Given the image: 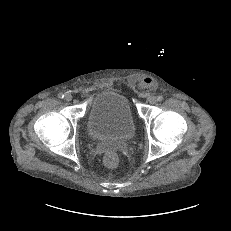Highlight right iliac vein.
Returning <instances> with one entry per match:
<instances>
[{
	"label": "right iliac vein",
	"instance_id": "right-iliac-vein-1",
	"mask_svg": "<svg viewBox=\"0 0 231 231\" xmlns=\"http://www.w3.org/2000/svg\"><path fill=\"white\" fill-rule=\"evenodd\" d=\"M65 100L68 101V102L71 101L72 100V95L70 93H67L65 95Z\"/></svg>",
	"mask_w": 231,
	"mask_h": 231
}]
</instances>
